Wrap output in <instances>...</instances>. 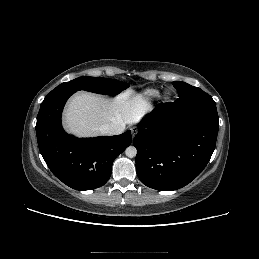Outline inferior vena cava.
<instances>
[{
  "instance_id": "inferior-vena-cava-1",
  "label": "inferior vena cava",
  "mask_w": 259,
  "mask_h": 259,
  "mask_svg": "<svg viewBox=\"0 0 259 259\" xmlns=\"http://www.w3.org/2000/svg\"><path fill=\"white\" fill-rule=\"evenodd\" d=\"M126 124L123 120L118 119L111 123L102 125L99 130L102 134L118 135L124 132Z\"/></svg>"
}]
</instances>
